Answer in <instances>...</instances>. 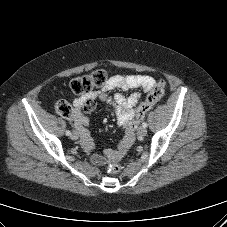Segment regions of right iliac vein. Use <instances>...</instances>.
<instances>
[{
	"instance_id": "1",
	"label": "right iliac vein",
	"mask_w": 227,
	"mask_h": 227,
	"mask_svg": "<svg viewBox=\"0 0 227 227\" xmlns=\"http://www.w3.org/2000/svg\"><path fill=\"white\" fill-rule=\"evenodd\" d=\"M72 140H77L79 137V133L77 131H73L70 135Z\"/></svg>"
}]
</instances>
